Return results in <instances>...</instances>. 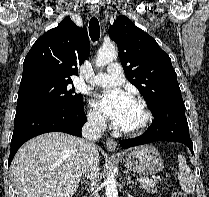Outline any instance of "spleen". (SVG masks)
I'll return each mask as SVG.
<instances>
[{
    "label": "spleen",
    "mask_w": 209,
    "mask_h": 197,
    "mask_svg": "<svg viewBox=\"0 0 209 197\" xmlns=\"http://www.w3.org/2000/svg\"><path fill=\"white\" fill-rule=\"evenodd\" d=\"M178 180L180 182L181 189L187 194L193 193L195 190L194 176L187 165L186 159L183 155H178Z\"/></svg>",
    "instance_id": "3e777b00"
}]
</instances>
